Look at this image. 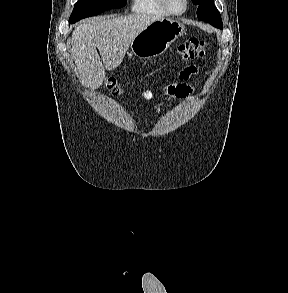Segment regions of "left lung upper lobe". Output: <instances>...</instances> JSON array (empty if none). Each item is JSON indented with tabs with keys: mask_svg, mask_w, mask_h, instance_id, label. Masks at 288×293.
I'll return each instance as SVG.
<instances>
[{
	"mask_svg": "<svg viewBox=\"0 0 288 293\" xmlns=\"http://www.w3.org/2000/svg\"><path fill=\"white\" fill-rule=\"evenodd\" d=\"M192 2L198 7L197 17L199 20L206 21L216 28L223 29L221 15L214 6V0H192Z\"/></svg>",
	"mask_w": 288,
	"mask_h": 293,
	"instance_id": "5c2ea615",
	"label": "left lung upper lobe"
}]
</instances>
